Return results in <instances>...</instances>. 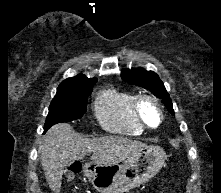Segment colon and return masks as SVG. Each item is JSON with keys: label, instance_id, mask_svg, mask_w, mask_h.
<instances>
[{"label": "colon", "instance_id": "1", "mask_svg": "<svg viewBox=\"0 0 221 193\" xmlns=\"http://www.w3.org/2000/svg\"><path fill=\"white\" fill-rule=\"evenodd\" d=\"M69 169H70V172L72 174H74V173H76V172H78L80 170V165H73ZM160 193H162V192H160Z\"/></svg>", "mask_w": 221, "mask_h": 193}]
</instances>
